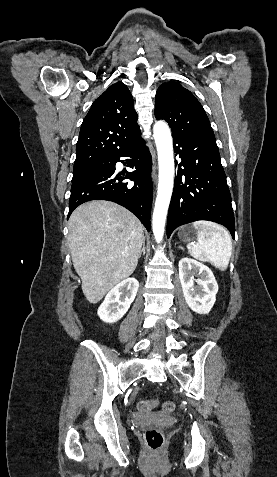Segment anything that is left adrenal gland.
<instances>
[{
	"mask_svg": "<svg viewBox=\"0 0 277 477\" xmlns=\"http://www.w3.org/2000/svg\"><path fill=\"white\" fill-rule=\"evenodd\" d=\"M179 248H180L181 250H183V248H182L181 246H179Z\"/></svg>",
	"mask_w": 277,
	"mask_h": 477,
	"instance_id": "obj_1",
	"label": "left adrenal gland"
}]
</instances>
